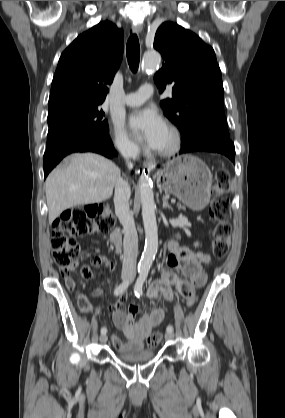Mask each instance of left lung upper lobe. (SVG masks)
<instances>
[{"instance_id": "5c2ea615", "label": "left lung upper lobe", "mask_w": 285, "mask_h": 418, "mask_svg": "<svg viewBox=\"0 0 285 418\" xmlns=\"http://www.w3.org/2000/svg\"><path fill=\"white\" fill-rule=\"evenodd\" d=\"M154 48L164 59L154 81L160 92L166 86L173 91L172 98L160 105L180 130L181 146L208 136L229 138L222 76L213 48L173 22L158 28Z\"/></svg>"}]
</instances>
